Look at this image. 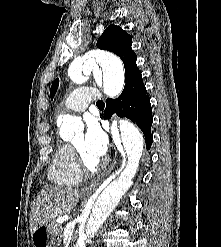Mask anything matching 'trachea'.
Wrapping results in <instances>:
<instances>
[{
    "instance_id": "1",
    "label": "trachea",
    "mask_w": 221,
    "mask_h": 247,
    "mask_svg": "<svg viewBox=\"0 0 221 247\" xmlns=\"http://www.w3.org/2000/svg\"><path fill=\"white\" fill-rule=\"evenodd\" d=\"M96 105H97V107H98L99 109H103V108L105 107V104H104L103 101H97Z\"/></svg>"
}]
</instances>
